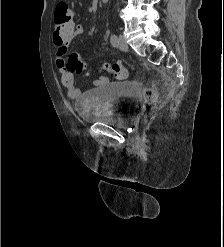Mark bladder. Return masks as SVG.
<instances>
[{
  "label": "bladder",
  "instance_id": "31cf9c89",
  "mask_svg": "<svg viewBox=\"0 0 224 247\" xmlns=\"http://www.w3.org/2000/svg\"><path fill=\"white\" fill-rule=\"evenodd\" d=\"M140 107L139 89L133 82H107L90 90L79 111L88 123L127 129L133 125Z\"/></svg>",
  "mask_w": 224,
  "mask_h": 247
}]
</instances>
